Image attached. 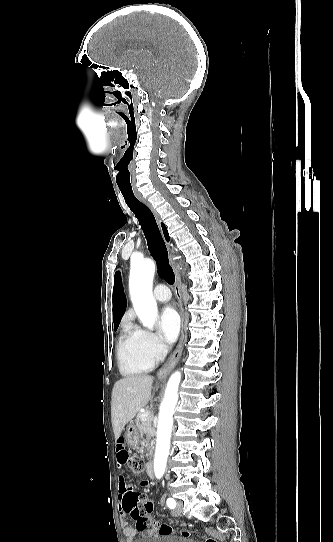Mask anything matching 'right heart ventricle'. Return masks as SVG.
Returning <instances> with one entry per match:
<instances>
[{
    "instance_id": "e07e8e85",
    "label": "right heart ventricle",
    "mask_w": 333,
    "mask_h": 542,
    "mask_svg": "<svg viewBox=\"0 0 333 542\" xmlns=\"http://www.w3.org/2000/svg\"><path fill=\"white\" fill-rule=\"evenodd\" d=\"M117 350L120 369L126 375L145 373L157 363V355L144 346L135 326H128L121 334Z\"/></svg>"
}]
</instances>
